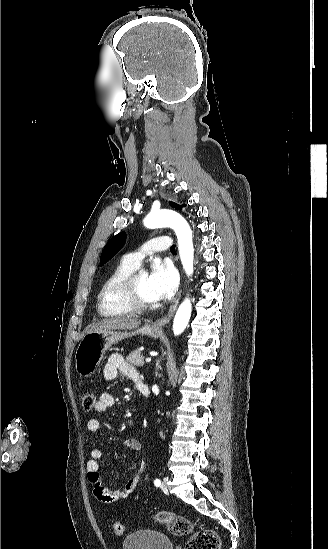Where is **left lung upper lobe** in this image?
Wrapping results in <instances>:
<instances>
[{
    "label": "left lung upper lobe",
    "mask_w": 328,
    "mask_h": 549,
    "mask_svg": "<svg viewBox=\"0 0 328 549\" xmlns=\"http://www.w3.org/2000/svg\"><path fill=\"white\" fill-rule=\"evenodd\" d=\"M170 206H172L175 209H182L185 205H178L174 202H170ZM126 240L125 233L120 232L119 234L115 235L113 238H111L106 246L104 247L101 258H100V265H103L107 261H109L118 251L122 248Z\"/></svg>",
    "instance_id": "left-lung-upper-lobe-1"
}]
</instances>
